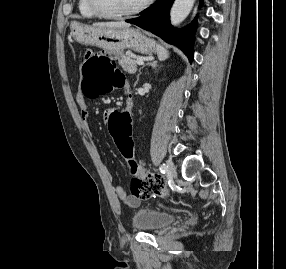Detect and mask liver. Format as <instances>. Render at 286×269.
Returning <instances> with one entry per match:
<instances>
[{"label":"liver","instance_id":"liver-1","mask_svg":"<svg viewBox=\"0 0 286 269\" xmlns=\"http://www.w3.org/2000/svg\"><path fill=\"white\" fill-rule=\"evenodd\" d=\"M95 27H102V28H110V29H123V28H129L130 24L126 23L124 21L120 22H99L93 24Z\"/></svg>","mask_w":286,"mask_h":269}]
</instances>
